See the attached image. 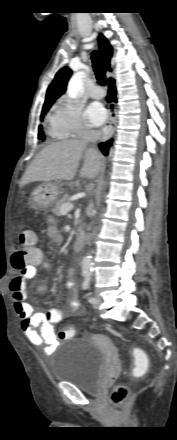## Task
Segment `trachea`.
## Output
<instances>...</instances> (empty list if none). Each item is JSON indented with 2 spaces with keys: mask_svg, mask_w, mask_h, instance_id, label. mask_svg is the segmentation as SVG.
Wrapping results in <instances>:
<instances>
[{
  "mask_svg": "<svg viewBox=\"0 0 177 440\" xmlns=\"http://www.w3.org/2000/svg\"><path fill=\"white\" fill-rule=\"evenodd\" d=\"M92 63L98 83H100L101 85H105L106 84L105 65L99 52L97 51L92 52Z\"/></svg>",
  "mask_w": 177,
  "mask_h": 440,
  "instance_id": "trachea-1",
  "label": "trachea"
}]
</instances>
